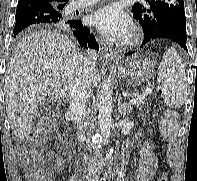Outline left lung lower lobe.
<instances>
[{
    "mask_svg": "<svg viewBox=\"0 0 197 181\" xmlns=\"http://www.w3.org/2000/svg\"><path fill=\"white\" fill-rule=\"evenodd\" d=\"M157 38L171 39L188 52L186 46L187 35L185 14H173L161 19L155 30L144 37L142 45ZM132 53H134V51L127 52L126 55Z\"/></svg>",
    "mask_w": 197,
    "mask_h": 181,
    "instance_id": "left-lung-lower-lobe-1",
    "label": "left lung lower lobe"
}]
</instances>
